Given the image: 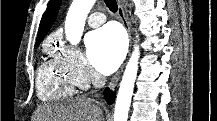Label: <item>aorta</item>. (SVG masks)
<instances>
[{"label": "aorta", "instance_id": "1", "mask_svg": "<svg viewBox=\"0 0 217 121\" xmlns=\"http://www.w3.org/2000/svg\"><path fill=\"white\" fill-rule=\"evenodd\" d=\"M96 0H73L65 20V34L71 44L80 42L88 13ZM139 46H135L124 71L115 103L114 121H127L138 72Z\"/></svg>", "mask_w": 217, "mask_h": 121}]
</instances>
